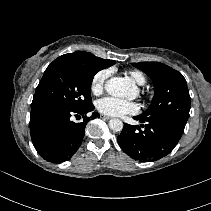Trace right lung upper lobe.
Here are the masks:
<instances>
[{"label": "right lung upper lobe", "instance_id": "1", "mask_svg": "<svg viewBox=\"0 0 211 211\" xmlns=\"http://www.w3.org/2000/svg\"><path fill=\"white\" fill-rule=\"evenodd\" d=\"M58 58L61 59H70L75 61H80L84 63H95L100 67L107 68L115 63L114 60H104L102 58L96 57L91 53L84 52V51H76L74 53L64 54Z\"/></svg>", "mask_w": 211, "mask_h": 211}]
</instances>
